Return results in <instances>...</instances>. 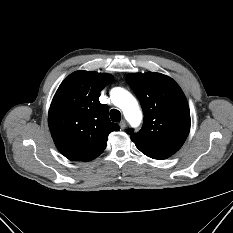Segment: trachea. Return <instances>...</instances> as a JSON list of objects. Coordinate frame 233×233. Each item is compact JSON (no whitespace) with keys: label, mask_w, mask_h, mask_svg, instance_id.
Returning <instances> with one entry per match:
<instances>
[{"label":"trachea","mask_w":233,"mask_h":233,"mask_svg":"<svg viewBox=\"0 0 233 233\" xmlns=\"http://www.w3.org/2000/svg\"><path fill=\"white\" fill-rule=\"evenodd\" d=\"M110 118L112 119L113 122H120V120H121L120 111H118L116 109H112L110 111Z\"/></svg>","instance_id":"3493384b"}]
</instances>
